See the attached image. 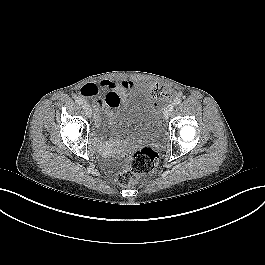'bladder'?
Returning <instances> with one entry per match:
<instances>
[{
  "instance_id": "obj_1",
  "label": "bladder",
  "mask_w": 265,
  "mask_h": 265,
  "mask_svg": "<svg viewBox=\"0 0 265 265\" xmlns=\"http://www.w3.org/2000/svg\"><path fill=\"white\" fill-rule=\"evenodd\" d=\"M118 134L133 139L153 138L161 130V112L153 93L140 83L130 85L113 116Z\"/></svg>"
}]
</instances>
